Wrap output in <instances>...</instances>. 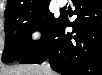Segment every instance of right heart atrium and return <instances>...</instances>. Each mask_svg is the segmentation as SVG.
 <instances>
[{
	"label": "right heart atrium",
	"mask_w": 102,
	"mask_h": 75,
	"mask_svg": "<svg viewBox=\"0 0 102 75\" xmlns=\"http://www.w3.org/2000/svg\"><path fill=\"white\" fill-rule=\"evenodd\" d=\"M43 31L39 26H33L29 29L27 39L29 42H34L42 37Z\"/></svg>",
	"instance_id": "1"
}]
</instances>
